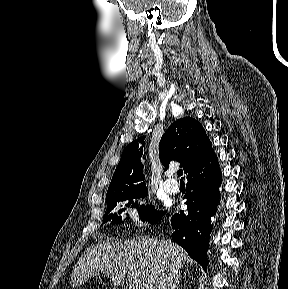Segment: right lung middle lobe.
Returning a JSON list of instances; mask_svg holds the SVG:
<instances>
[{
	"mask_svg": "<svg viewBox=\"0 0 288 289\" xmlns=\"http://www.w3.org/2000/svg\"><path fill=\"white\" fill-rule=\"evenodd\" d=\"M147 188L142 187L138 189H128V190H119V191H112L107 192L106 201L108 205L107 212L109 213L112 209H114L118 202L128 200L129 202L126 204V206H130L133 199L140 198L147 196ZM136 205H133L132 207H135ZM124 209L119 210V214L122 213ZM139 213L143 220H146L148 222H155L157 221L161 216L162 212L157 211L153 206H148L147 208L140 207ZM111 221L112 224H117L122 221V217L118 216L117 214H105L103 217V223Z\"/></svg>",
	"mask_w": 288,
	"mask_h": 289,
	"instance_id": "obj_1",
	"label": "right lung middle lobe"
}]
</instances>
